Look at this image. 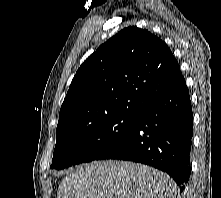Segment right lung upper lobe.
I'll return each mask as SVG.
<instances>
[{"instance_id": "cb5924a9", "label": "right lung upper lobe", "mask_w": 221, "mask_h": 198, "mask_svg": "<svg viewBox=\"0 0 221 198\" xmlns=\"http://www.w3.org/2000/svg\"><path fill=\"white\" fill-rule=\"evenodd\" d=\"M182 79L165 42L146 29L127 27L78 69L60 109L56 137L113 114H140Z\"/></svg>"}]
</instances>
